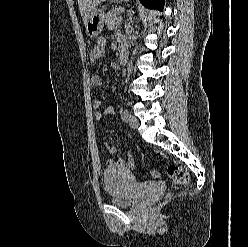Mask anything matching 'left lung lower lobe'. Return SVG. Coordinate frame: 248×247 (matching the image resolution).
<instances>
[{
    "instance_id": "0a47b994",
    "label": "left lung lower lobe",
    "mask_w": 248,
    "mask_h": 247,
    "mask_svg": "<svg viewBox=\"0 0 248 247\" xmlns=\"http://www.w3.org/2000/svg\"><path fill=\"white\" fill-rule=\"evenodd\" d=\"M148 8L162 10L165 0H140Z\"/></svg>"
}]
</instances>
